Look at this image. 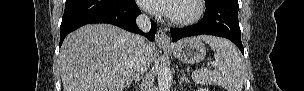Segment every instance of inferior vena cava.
Returning <instances> with one entry per match:
<instances>
[{
	"label": "inferior vena cava",
	"instance_id": "1",
	"mask_svg": "<svg viewBox=\"0 0 304 91\" xmlns=\"http://www.w3.org/2000/svg\"><path fill=\"white\" fill-rule=\"evenodd\" d=\"M136 24L143 32H148L151 29L150 20L145 14H141L137 17ZM135 39L138 43V61L136 64V73L137 75H140L148 69L150 64L147 55L150 43L140 35H135Z\"/></svg>",
	"mask_w": 304,
	"mask_h": 91
}]
</instances>
